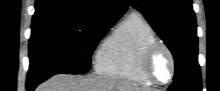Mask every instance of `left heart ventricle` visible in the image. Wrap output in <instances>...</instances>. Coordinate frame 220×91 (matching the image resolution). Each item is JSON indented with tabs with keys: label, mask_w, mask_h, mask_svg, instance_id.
I'll use <instances>...</instances> for the list:
<instances>
[{
	"label": "left heart ventricle",
	"mask_w": 220,
	"mask_h": 91,
	"mask_svg": "<svg viewBox=\"0 0 220 91\" xmlns=\"http://www.w3.org/2000/svg\"><path fill=\"white\" fill-rule=\"evenodd\" d=\"M152 70L160 81H167L170 75V60L164 51H159L152 63Z\"/></svg>",
	"instance_id": "1"
}]
</instances>
